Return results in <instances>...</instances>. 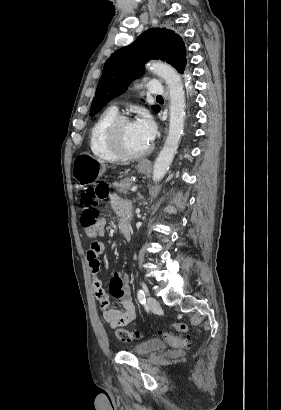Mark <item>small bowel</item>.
I'll return each instance as SVG.
<instances>
[{"label": "small bowel", "instance_id": "small-bowel-1", "mask_svg": "<svg viewBox=\"0 0 281 410\" xmlns=\"http://www.w3.org/2000/svg\"><path fill=\"white\" fill-rule=\"evenodd\" d=\"M109 210L122 216L121 225H129L131 205L128 201L113 194L109 199ZM106 223V217L99 219L96 227L99 235L105 233ZM104 251L105 244L102 241L92 242L87 251V260L93 276L92 286L94 295L100 303L102 317L107 323L111 325H126L137 317L135 306L130 296L129 277L118 272L113 274L109 283V293L120 303L121 308L112 307L110 305V296L103 289L102 281L99 278L101 270L99 257Z\"/></svg>", "mask_w": 281, "mask_h": 410}]
</instances>
